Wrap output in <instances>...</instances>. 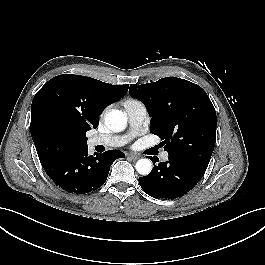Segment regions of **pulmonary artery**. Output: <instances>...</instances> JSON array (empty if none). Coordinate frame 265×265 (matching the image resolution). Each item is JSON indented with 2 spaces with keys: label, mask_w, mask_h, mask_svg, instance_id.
<instances>
[{
  "label": "pulmonary artery",
  "mask_w": 265,
  "mask_h": 265,
  "mask_svg": "<svg viewBox=\"0 0 265 265\" xmlns=\"http://www.w3.org/2000/svg\"><path fill=\"white\" fill-rule=\"evenodd\" d=\"M124 108L126 110L130 130L124 135H96L88 139L89 146H106V147H119L125 145L133 136H135L140 130L146 115L147 110L143 103L139 101H126L124 103ZM168 158V153L166 151L162 152L161 159L166 160Z\"/></svg>",
  "instance_id": "e3ab8cb5"
}]
</instances>
